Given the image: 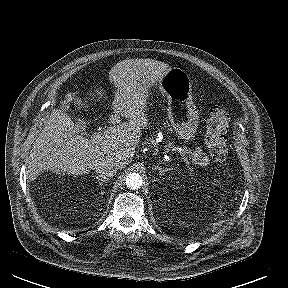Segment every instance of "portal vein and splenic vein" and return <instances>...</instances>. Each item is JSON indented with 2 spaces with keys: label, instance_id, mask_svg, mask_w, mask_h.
Listing matches in <instances>:
<instances>
[{
  "label": "portal vein and splenic vein",
  "instance_id": "18ae733b",
  "mask_svg": "<svg viewBox=\"0 0 288 288\" xmlns=\"http://www.w3.org/2000/svg\"><path fill=\"white\" fill-rule=\"evenodd\" d=\"M100 139H102V133H100V132L94 133L91 137V140H93V141H98ZM182 159H183L184 164L187 168H192V164L187 158L183 157Z\"/></svg>",
  "mask_w": 288,
  "mask_h": 288
}]
</instances>
